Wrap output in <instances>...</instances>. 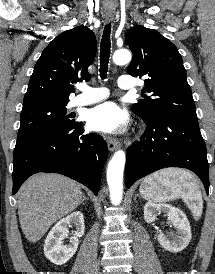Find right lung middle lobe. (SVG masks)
<instances>
[{"label": "right lung middle lobe", "mask_w": 215, "mask_h": 274, "mask_svg": "<svg viewBox=\"0 0 215 274\" xmlns=\"http://www.w3.org/2000/svg\"><path fill=\"white\" fill-rule=\"evenodd\" d=\"M66 105L67 103L46 102L23 107L14 156L35 141L75 124L66 115Z\"/></svg>", "instance_id": "right-lung-middle-lobe-1"}]
</instances>
